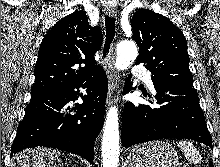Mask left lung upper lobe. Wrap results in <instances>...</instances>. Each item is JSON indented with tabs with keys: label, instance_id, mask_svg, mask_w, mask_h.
I'll return each instance as SVG.
<instances>
[{
	"label": "left lung upper lobe",
	"instance_id": "1",
	"mask_svg": "<svg viewBox=\"0 0 220 167\" xmlns=\"http://www.w3.org/2000/svg\"><path fill=\"white\" fill-rule=\"evenodd\" d=\"M133 40L139 47L136 64L151 71L153 83L193 87L187 43L170 19L148 9L137 10L131 20Z\"/></svg>",
	"mask_w": 220,
	"mask_h": 167
}]
</instances>
